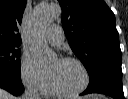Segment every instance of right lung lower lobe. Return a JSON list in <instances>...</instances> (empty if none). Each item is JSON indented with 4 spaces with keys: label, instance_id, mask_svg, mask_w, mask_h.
<instances>
[{
    "label": "right lung lower lobe",
    "instance_id": "1",
    "mask_svg": "<svg viewBox=\"0 0 128 99\" xmlns=\"http://www.w3.org/2000/svg\"><path fill=\"white\" fill-rule=\"evenodd\" d=\"M0 88L7 90L15 96L20 95L24 90L21 81H15L6 76H0Z\"/></svg>",
    "mask_w": 128,
    "mask_h": 99
}]
</instances>
